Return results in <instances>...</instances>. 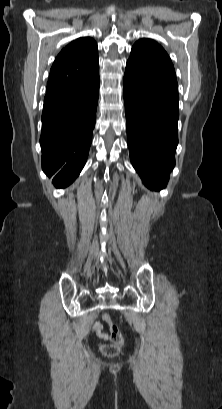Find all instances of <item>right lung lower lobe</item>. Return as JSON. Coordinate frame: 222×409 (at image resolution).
<instances>
[{
    "instance_id": "obj_1",
    "label": "right lung lower lobe",
    "mask_w": 222,
    "mask_h": 409,
    "mask_svg": "<svg viewBox=\"0 0 222 409\" xmlns=\"http://www.w3.org/2000/svg\"><path fill=\"white\" fill-rule=\"evenodd\" d=\"M77 92L45 97L42 113V169L57 188L71 184L88 156L99 95V70Z\"/></svg>"
}]
</instances>
